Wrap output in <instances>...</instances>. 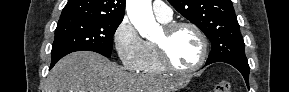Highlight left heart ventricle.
Listing matches in <instances>:
<instances>
[{"mask_svg":"<svg viewBox=\"0 0 289 92\" xmlns=\"http://www.w3.org/2000/svg\"><path fill=\"white\" fill-rule=\"evenodd\" d=\"M155 41H166L170 59L177 67L189 68L199 60L201 44L195 32L190 28H180L168 39L162 29Z\"/></svg>","mask_w":289,"mask_h":92,"instance_id":"1","label":"left heart ventricle"}]
</instances>
